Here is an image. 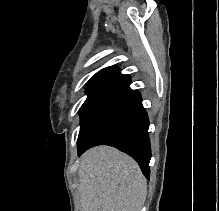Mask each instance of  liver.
<instances>
[{
	"instance_id": "1",
	"label": "liver",
	"mask_w": 219,
	"mask_h": 211,
	"mask_svg": "<svg viewBox=\"0 0 219 211\" xmlns=\"http://www.w3.org/2000/svg\"><path fill=\"white\" fill-rule=\"evenodd\" d=\"M78 181L81 211H140L147 195L137 161L110 145L81 155Z\"/></svg>"
}]
</instances>
